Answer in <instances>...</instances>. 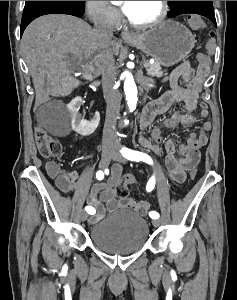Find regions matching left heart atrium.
I'll return each mask as SVG.
<instances>
[{"instance_id": "1", "label": "left heart atrium", "mask_w": 237, "mask_h": 300, "mask_svg": "<svg viewBox=\"0 0 237 300\" xmlns=\"http://www.w3.org/2000/svg\"><path fill=\"white\" fill-rule=\"evenodd\" d=\"M133 1H123L122 4V10L127 13V11L130 9Z\"/></svg>"}]
</instances>
